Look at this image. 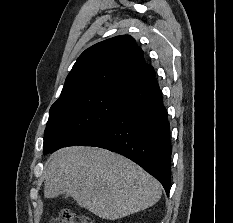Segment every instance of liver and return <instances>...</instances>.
Returning <instances> with one entry per match:
<instances>
[{"label":"liver","instance_id":"1","mask_svg":"<svg viewBox=\"0 0 233 223\" xmlns=\"http://www.w3.org/2000/svg\"><path fill=\"white\" fill-rule=\"evenodd\" d=\"M44 197L67 193L102 219H119L159 201L161 185L140 165L101 147H64L44 165Z\"/></svg>","mask_w":233,"mask_h":223}]
</instances>
